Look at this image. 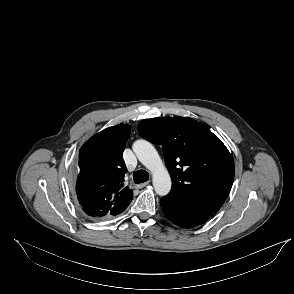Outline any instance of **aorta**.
Segmentation results:
<instances>
[{
	"mask_svg": "<svg viewBox=\"0 0 294 294\" xmlns=\"http://www.w3.org/2000/svg\"><path fill=\"white\" fill-rule=\"evenodd\" d=\"M133 151L138 160L152 173L155 192L165 196L171 189V178L154 146L146 140H137Z\"/></svg>",
	"mask_w": 294,
	"mask_h": 294,
	"instance_id": "762f6f07",
	"label": "aorta"
}]
</instances>
